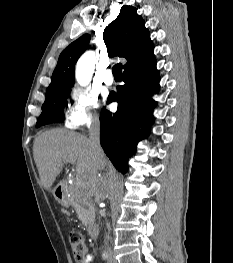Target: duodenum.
Segmentation results:
<instances>
[{"mask_svg":"<svg viewBox=\"0 0 233 263\" xmlns=\"http://www.w3.org/2000/svg\"><path fill=\"white\" fill-rule=\"evenodd\" d=\"M64 188L61 186V191L63 192ZM59 198L61 201H63L64 199V195H62L61 193L59 194ZM89 235L90 237L95 240L98 238V230H97V227L95 225H91L89 227Z\"/></svg>","mask_w":233,"mask_h":263,"instance_id":"duodenum-1","label":"duodenum"}]
</instances>
